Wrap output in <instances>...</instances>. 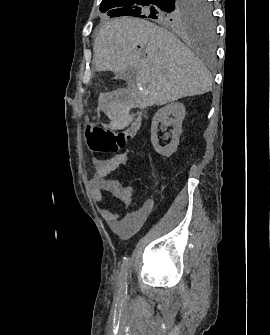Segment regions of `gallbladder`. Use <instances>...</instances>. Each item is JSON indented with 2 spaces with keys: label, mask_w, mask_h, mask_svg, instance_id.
Wrapping results in <instances>:
<instances>
[{
  "label": "gallbladder",
  "mask_w": 270,
  "mask_h": 335,
  "mask_svg": "<svg viewBox=\"0 0 270 335\" xmlns=\"http://www.w3.org/2000/svg\"><path fill=\"white\" fill-rule=\"evenodd\" d=\"M131 74H134V72L132 68H128L125 72H117V78H120V80H127V78H130Z\"/></svg>",
  "instance_id": "gallbladder-1"
}]
</instances>
